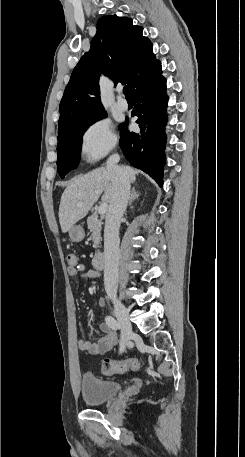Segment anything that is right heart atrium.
<instances>
[{
	"label": "right heart atrium",
	"instance_id": "obj_1",
	"mask_svg": "<svg viewBox=\"0 0 245 457\" xmlns=\"http://www.w3.org/2000/svg\"><path fill=\"white\" fill-rule=\"evenodd\" d=\"M83 150L91 158L104 156L115 144L116 138L107 120L101 119L92 123L82 135Z\"/></svg>",
	"mask_w": 245,
	"mask_h": 457
}]
</instances>
